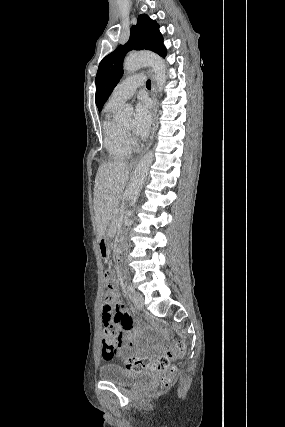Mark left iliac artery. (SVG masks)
<instances>
[{
  "label": "left iliac artery",
  "instance_id": "obj_1",
  "mask_svg": "<svg viewBox=\"0 0 285 427\" xmlns=\"http://www.w3.org/2000/svg\"><path fill=\"white\" fill-rule=\"evenodd\" d=\"M127 291H128L129 293H133V292H134V288L132 287V285H128V286H127Z\"/></svg>",
  "mask_w": 285,
  "mask_h": 427
}]
</instances>
